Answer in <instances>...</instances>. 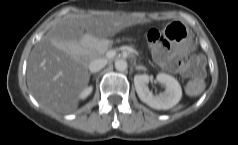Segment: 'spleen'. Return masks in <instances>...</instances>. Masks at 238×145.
<instances>
[{
	"mask_svg": "<svg viewBox=\"0 0 238 145\" xmlns=\"http://www.w3.org/2000/svg\"><path fill=\"white\" fill-rule=\"evenodd\" d=\"M180 108H182V106H179L177 109H180Z\"/></svg>",
	"mask_w": 238,
	"mask_h": 145,
	"instance_id": "spleen-1",
	"label": "spleen"
}]
</instances>
